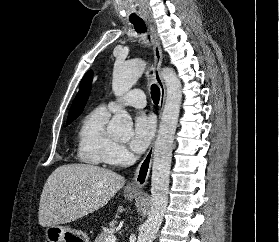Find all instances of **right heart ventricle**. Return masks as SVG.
<instances>
[{
	"label": "right heart ventricle",
	"instance_id": "e07e8e85",
	"mask_svg": "<svg viewBox=\"0 0 279 242\" xmlns=\"http://www.w3.org/2000/svg\"><path fill=\"white\" fill-rule=\"evenodd\" d=\"M110 113L104 106H98L82 120L78 130V157L82 162L99 165L108 163L116 145L106 132Z\"/></svg>",
	"mask_w": 279,
	"mask_h": 242
}]
</instances>
